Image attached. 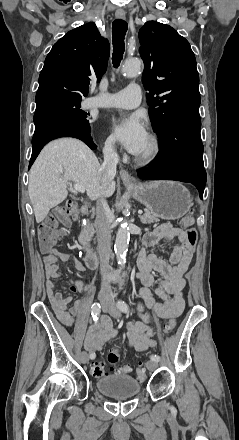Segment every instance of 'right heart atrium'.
Wrapping results in <instances>:
<instances>
[{
  "mask_svg": "<svg viewBox=\"0 0 239 440\" xmlns=\"http://www.w3.org/2000/svg\"><path fill=\"white\" fill-rule=\"evenodd\" d=\"M105 151L106 153H112L114 151L113 143L110 140H108L106 143Z\"/></svg>",
  "mask_w": 239,
  "mask_h": 440,
  "instance_id": "right-heart-atrium-1",
  "label": "right heart atrium"
}]
</instances>
